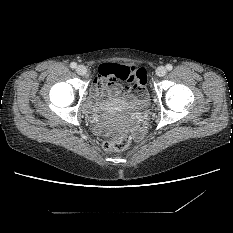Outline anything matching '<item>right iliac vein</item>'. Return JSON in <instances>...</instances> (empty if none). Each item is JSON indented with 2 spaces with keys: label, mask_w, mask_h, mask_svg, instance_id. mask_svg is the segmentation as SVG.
Wrapping results in <instances>:
<instances>
[{
  "label": "right iliac vein",
  "mask_w": 233,
  "mask_h": 233,
  "mask_svg": "<svg viewBox=\"0 0 233 233\" xmlns=\"http://www.w3.org/2000/svg\"><path fill=\"white\" fill-rule=\"evenodd\" d=\"M76 72H77L79 75L83 76V75L86 74L87 69H86V67H85L84 65H79V66H77V68H76Z\"/></svg>",
  "instance_id": "obj_1"
}]
</instances>
